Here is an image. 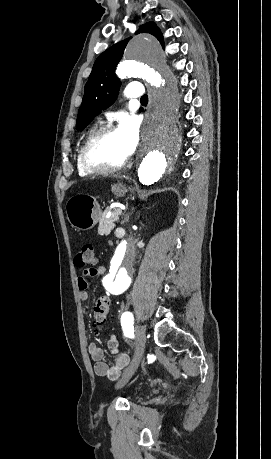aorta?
Wrapping results in <instances>:
<instances>
[{"label": "aorta", "mask_w": 271, "mask_h": 459, "mask_svg": "<svg viewBox=\"0 0 271 459\" xmlns=\"http://www.w3.org/2000/svg\"><path fill=\"white\" fill-rule=\"evenodd\" d=\"M126 57L117 67L118 77H142L151 86L138 166L140 183L151 185L172 172L179 156L177 84L154 38L148 35L135 37L127 46ZM135 257V239L130 234L119 242L111 258L102 280L106 290L119 295L129 288Z\"/></svg>", "instance_id": "aorta-1"}]
</instances>
